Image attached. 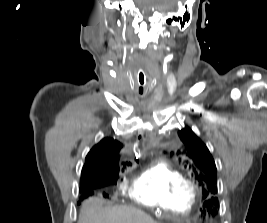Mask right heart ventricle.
<instances>
[{"label": "right heart ventricle", "mask_w": 267, "mask_h": 223, "mask_svg": "<svg viewBox=\"0 0 267 223\" xmlns=\"http://www.w3.org/2000/svg\"><path fill=\"white\" fill-rule=\"evenodd\" d=\"M185 174L165 161L157 162L135 177L126 195L136 204L160 212L187 213L195 202Z\"/></svg>", "instance_id": "e07e8e85"}]
</instances>
